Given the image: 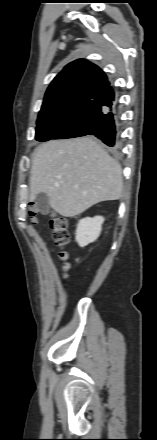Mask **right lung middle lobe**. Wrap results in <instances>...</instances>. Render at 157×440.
I'll return each instance as SVG.
<instances>
[{
  "label": "right lung middle lobe",
  "mask_w": 157,
  "mask_h": 440,
  "mask_svg": "<svg viewBox=\"0 0 157 440\" xmlns=\"http://www.w3.org/2000/svg\"><path fill=\"white\" fill-rule=\"evenodd\" d=\"M93 135L86 124L78 120H47L37 122L36 140L66 139Z\"/></svg>",
  "instance_id": "obj_1"
}]
</instances>
